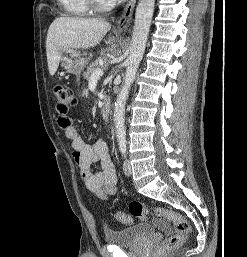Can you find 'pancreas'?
Returning a JSON list of instances; mask_svg holds the SVG:
<instances>
[{
    "instance_id": "obj_1",
    "label": "pancreas",
    "mask_w": 247,
    "mask_h": 257,
    "mask_svg": "<svg viewBox=\"0 0 247 257\" xmlns=\"http://www.w3.org/2000/svg\"><path fill=\"white\" fill-rule=\"evenodd\" d=\"M103 66H104V62L101 63L99 60L92 62L87 67L86 71L83 73L84 79L89 80L94 70L97 69L98 67H103Z\"/></svg>"
}]
</instances>
